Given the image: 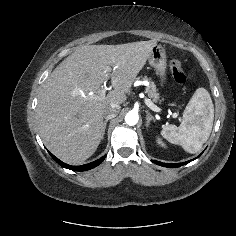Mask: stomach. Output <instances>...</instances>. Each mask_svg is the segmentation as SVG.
Segmentation results:
<instances>
[{"label": "stomach", "instance_id": "1", "mask_svg": "<svg viewBox=\"0 0 236 236\" xmlns=\"http://www.w3.org/2000/svg\"><path fill=\"white\" fill-rule=\"evenodd\" d=\"M149 64L155 69L160 78L161 85L166 83L167 59L165 49L161 45H155L148 57Z\"/></svg>", "mask_w": 236, "mask_h": 236}]
</instances>
